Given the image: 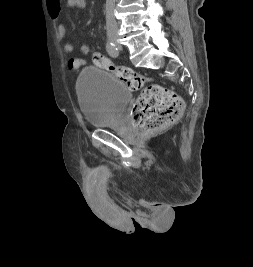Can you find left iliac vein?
Here are the masks:
<instances>
[{
    "label": "left iliac vein",
    "instance_id": "obj_1",
    "mask_svg": "<svg viewBox=\"0 0 253 267\" xmlns=\"http://www.w3.org/2000/svg\"><path fill=\"white\" fill-rule=\"evenodd\" d=\"M117 46L120 48L121 46L119 44H117Z\"/></svg>",
    "mask_w": 253,
    "mask_h": 267
}]
</instances>
